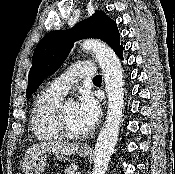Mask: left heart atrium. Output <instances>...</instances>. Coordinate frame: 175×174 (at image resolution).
I'll return each instance as SVG.
<instances>
[{"instance_id":"1","label":"left heart atrium","mask_w":175,"mask_h":174,"mask_svg":"<svg viewBox=\"0 0 175 174\" xmlns=\"http://www.w3.org/2000/svg\"><path fill=\"white\" fill-rule=\"evenodd\" d=\"M77 113L87 127L92 128L100 117L98 101L89 92H83L76 103Z\"/></svg>"}]
</instances>
